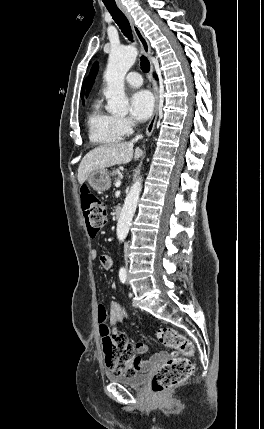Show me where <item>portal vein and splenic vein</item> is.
Here are the masks:
<instances>
[{"label": "portal vein and splenic vein", "mask_w": 264, "mask_h": 429, "mask_svg": "<svg viewBox=\"0 0 264 429\" xmlns=\"http://www.w3.org/2000/svg\"><path fill=\"white\" fill-rule=\"evenodd\" d=\"M120 185H121V181H120V180H118V181L116 182L115 186H116V187H119Z\"/></svg>", "instance_id": "portal-vein-and-splenic-vein-1"}]
</instances>
